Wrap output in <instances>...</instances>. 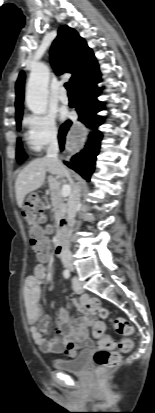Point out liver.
I'll return each mask as SVG.
<instances>
[{
	"instance_id": "liver-1",
	"label": "liver",
	"mask_w": 155,
	"mask_h": 413,
	"mask_svg": "<svg viewBox=\"0 0 155 413\" xmlns=\"http://www.w3.org/2000/svg\"><path fill=\"white\" fill-rule=\"evenodd\" d=\"M46 172L58 177H63L58 168L52 165L46 157L31 161L23 168L15 182L16 200L19 207L23 206L27 194L39 189L46 177Z\"/></svg>"
}]
</instances>
